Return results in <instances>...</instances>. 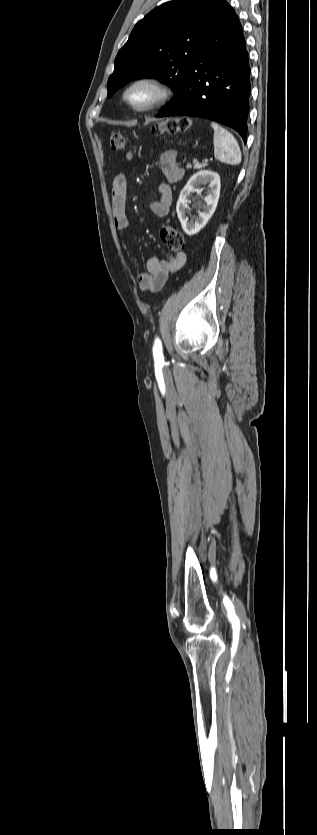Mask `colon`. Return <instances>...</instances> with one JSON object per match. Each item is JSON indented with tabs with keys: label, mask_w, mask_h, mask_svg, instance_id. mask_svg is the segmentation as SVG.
<instances>
[{
	"label": "colon",
	"mask_w": 317,
	"mask_h": 835,
	"mask_svg": "<svg viewBox=\"0 0 317 835\" xmlns=\"http://www.w3.org/2000/svg\"><path fill=\"white\" fill-rule=\"evenodd\" d=\"M191 126V120L185 117L180 118H170L166 121L156 125L153 129L154 133L157 135L163 134H177L186 132ZM110 146L115 151L125 152L126 156H129V152L126 150V139L120 133H113L110 136ZM160 237L162 242L164 243L166 249L172 253L180 252L184 247V238L180 231H178L174 226L170 224H163L160 228Z\"/></svg>",
	"instance_id": "1"
}]
</instances>
